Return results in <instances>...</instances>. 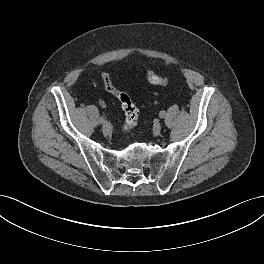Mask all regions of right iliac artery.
<instances>
[{
  "label": "right iliac artery",
  "mask_w": 264,
  "mask_h": 264,
  "mask_svg": "<svg viewBox=\"0 0 264 264\" xmlns=\"http://www.w3.org/2000/svg\"><path fill=\"white\" fill-rule=\"evenodd\" d=\"M99 121H100V123H103L105 120H104L103 117H100V118H99Z\"/></svg>",
  "instance_id": "1"
}]
</instances>
